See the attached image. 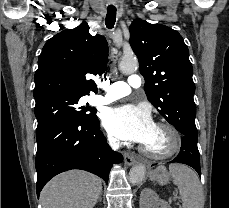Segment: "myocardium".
Segmentation results:
<instances>
[{
	"instance_id": "obj_1",
	"label": "myocardium",
	"mask_w": 229,
	"mask_h": 208,
	"mask_svg": "<svg viewBox=\"0 0 229 208\" xmlns=\"http://www.w3.org/2000/svg\"><path fill=\"white\" fill-rule=\"evenodd\" d=\"M156 127L159 128H165V135H168L167 137V146L168 147H174L172 150L158 154L150 151L148 148H146L144 145L141 146L142 151L151 159L154 160H166L169 158H172L173 156L177 155L183 146V138L181 132L172 124L168 122H157L155 123Z\"/></svg>"
}]
</instances>
